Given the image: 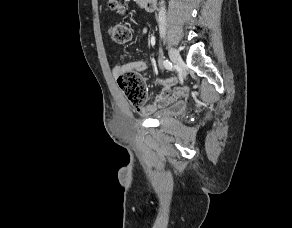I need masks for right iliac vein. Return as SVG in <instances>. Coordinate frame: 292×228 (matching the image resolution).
<instances>
[{
	"label": "right iliac vein",
	"instance_id": "obj_1",
	"mask_svg": "<svg viewBox=\"0 0 292 228\" xmlns=\"http://www.w3.org/2000/svg\"><path fill=\"white\" fill-rule=\"evenodd\" d=\"M168 52H169L170 59L173 61V63L177 67H179L180 69H183L184 68V62H183L180 54L178 53V51H176L172 47H168Z\"/></svg>",
	"mask_w": 292,
	"mask_h": 228
}]
</instances>
